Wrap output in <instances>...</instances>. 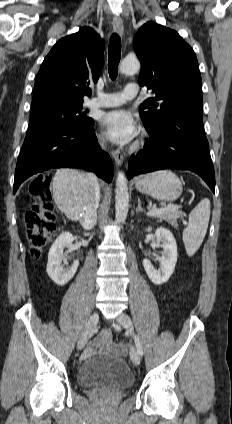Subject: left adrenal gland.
<instances>
[{
  "label": "left adrenal gland",
  "mask_w": 232,
  "mask_h": 424,
  "mask_svg": "<svg viewBox=\"0 0 232 424\" xmlns=\"http://www.w3.org/2000/svg\"><path fill=\"white\" fill-rule=\"evenodd\" d=\"M145 213V210L141 207V201L140 198H138V206L136 208V213Z\"/></svg>",
  "instance_id": "a2214340"
}]
</instances>
